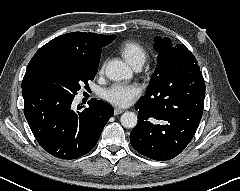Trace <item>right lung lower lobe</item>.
Masks as SVG:
<instances>
[{
    "mask_svg": "<svg viewBox=\"0 0 240 191\" xmlns=\"http://www.w3.org/2000/svg\"><path fill=\"white\" fill-rule=\"evenodd\" d=\"M22 95L24 114L36 140L59 159H76L90 152L113 116V108L96 99L75 112L71 108L74 98L37 91H22Z\"/></svg>",
    "mask_w": 240,
    "mask_h": 191,
    "instance_id": "98d812e1",
    "label": "right lung lower lobe"
}]
</instances>
